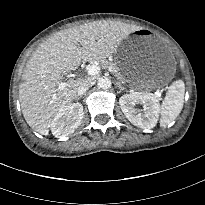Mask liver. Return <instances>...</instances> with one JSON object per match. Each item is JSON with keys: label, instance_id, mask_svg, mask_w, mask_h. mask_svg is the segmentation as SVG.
Instances as JSON below:
<instances>
[{"label": "liver", "instance_id": "liver-1", "mask_svg": "<svg viewBox=\"0 0 205 205\" xmlns=\"http://www.w3.org/2000/svg\"><path fill=\"white\" fill-rule=\"evenodd\" d=\"M139 28L118 21H94L56 33L42 43L28 61L19 85V99L27 124L49 134L53 117L77 98L83 80L62 82L63 74L81 61L105 59Z\"/></svg>", "mask_w": 205, "mask_h": 205}]
</instances>
